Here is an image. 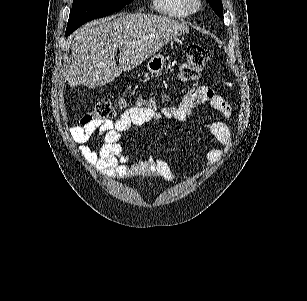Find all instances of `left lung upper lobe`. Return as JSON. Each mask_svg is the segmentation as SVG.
Segmentation results:
<instances>
[{"label": "left lung upper lobe", "mask_w": 307, "mask_h": 301, "mask_svg": "<svg viewBox=\"0 0 307 301\" xmlns=\"http://www.w3.org/2000/svg\"><path fill=\"white\" fill-rule=\"evenodd\" d=\"M207 2L219 17H223V6L221 0H207Z\"/></svg>", "instance_id": "1"}]
</instances>
